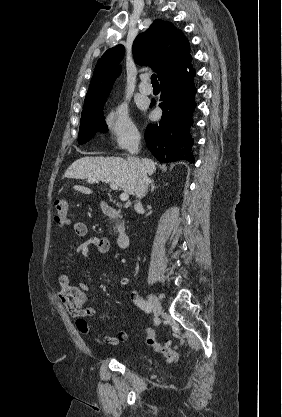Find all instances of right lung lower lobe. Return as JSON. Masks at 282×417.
Masks as SVG:
<instances>
[{"mask_svg":"<svg viewBox=\"0 0 282 417\" xmlns=\"http://www.w3.org/2000/svg\"><path fill=\"white\" fill-rule=\"evenodd\" d=\"M191 61V60H190ZM189 62L178 66L161 80L159 107L163 114L159 124H149L145 132L148 149L161 162L187 160L194 163L190 150L193 139L189 134L196 107L193 84L195 70ZM190 67L187 73L186 68ZM153 102L151 106H153Z\"/></svg>","mask_w":282,"mask_h":417,"instance_id":"98d812e1","label":"right lung lower lobe"}]
</instances>
